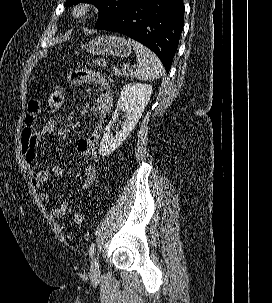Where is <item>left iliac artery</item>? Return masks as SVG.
Listing matches in <instances>:
<instances>
[{
	"instance_id": "left-iliac-artery-1",
	"label": "left iliac artery",
	"mask_w": 272,
	"mask_h": 303,
	"mask_svg": "<svg viewBox=\"0 0 272 303\" xmlns=\"http://www.w3.org/2000/svg\"><path fill=\"white\" fill-rule=\"evenodd\" d=\"M95 243H92L90 248H89V257L92 258L94 253H95Z\"/></svg>"
}]
</instances>
